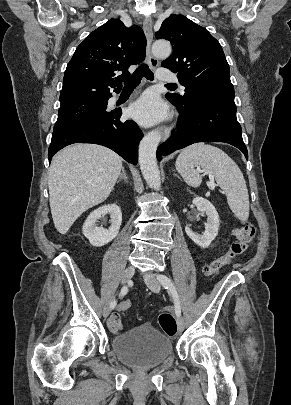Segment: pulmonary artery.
<instances>
[{
    "label": "pulmonary artery",
    "instance_id": "1",
    "mask_svg": "<svg viewBox=\"0 0 291 405\" xmlns=\"http://www.w3.org/2000/svg\"><path fill=\"white\" fill-rule=\"evenodd\" d=\"M157 79L168 82L178 81L176 74L165 68H161L157 71ZM181 89L184 91V86H181Z\"/></svg>",
    "mask_w": 291,
    "mask_h": 405
}]
</instances>
